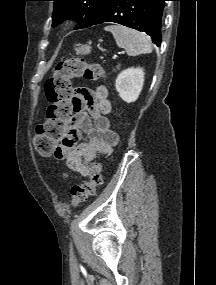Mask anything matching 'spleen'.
I'll use <instances>...</instances> for the list:
<instances>
[{"label":"spleen","mask_w":216,"mask_h":285,"mask_svg":"<svg viewBox=\"0 0 216 285\" xmlns=\"http://www.w3.org/2000/svg\"><path fill=\"white\" fill-rule=\"evenodd\" d=\"M105 30L113 34L118 47L125 49L129 56L152 52L148 38L136 30L120 25L106 26Z\"/></svg>","instance_id":"obj_1"}]
</instances>
